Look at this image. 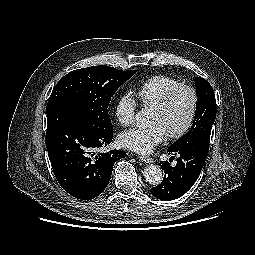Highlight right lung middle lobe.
Listing matches in <instances>:
<instances>
[{"instance_id": "obj_1", "label": "right lung middle lobe", "mask_w": 255, "mask_h": 255, "mask_svg": "<svg viewBox=\"0 0 255 255\" xmlns=\"http://www.w3.org/2000/svg\"><path fill=\"white\" fill-rule=\"evenodd\" d=\"M136 73L106 65L77 69L55 85L47 104V113L60 105L82 113L101 131H112L108 106L117 89Z\"/></svg>"}]
</instances>
